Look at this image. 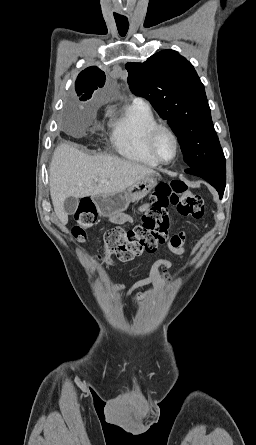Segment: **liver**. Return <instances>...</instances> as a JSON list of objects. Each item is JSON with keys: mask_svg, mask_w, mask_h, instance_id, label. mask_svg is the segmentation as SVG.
Segmentation results:
<instances>
[{"mask_svg": "<svg viewBox=\"0 0 256 445\" xmlns=\"http://www.w3.org/2000/svg\"><path fill=\"white\" fill-rule=\"evenodd\" d=\"M150 175L157 173L131 161L109 155L89 156L69 144H62L54 151L49 169L54 211L64 225L68 222L63 206L67 197L122 192Z\"/></svg>", "mask_w": 256, "mask_h": 445, "instance_id": "6515ba94", "label": "liver"}]
</instances>
